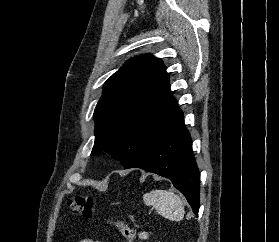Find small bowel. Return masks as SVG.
Masks as SVG:
<instances>
[{"mask_svg":"<svg viewBox=\"0 0 279 242\" xmlns=\"http://www.w3.org/2000/svg\"><path fill=\"white\" fill-rule=\"evenodd\" d=\"M79 242H101V241H97V240H94V239L86 238V239H82V240L79 241Z\"/></svg>","mask_w":279,"mask_h":242,"instance_id":"c3829d8e","label":"small bowel"}]
</instances>
